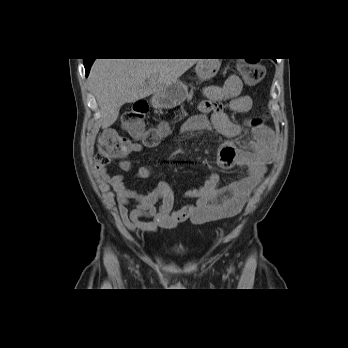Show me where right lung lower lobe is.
<instances>
[{
	"mask_svg": "<svg viewBox=\"0 0 348 348\" xmlns=\"http://www.w3.org/2000/svg\"><path fill=\"white\" fill-rule=\"evenodd\" d=\"M94 59H84V66H85V70H86V76H88L90 67L93 63Z\"/></svg>",
	"mask_w": 348,
	"mask_h": 348,
	"instance_id": "1",
	"label": "right lung lower lobe"
}]
</instances>
